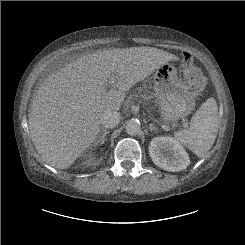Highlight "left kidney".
Listing matches in <instances>:
<instances>
[{"mask_svg":"<svg viewBox=\"0 0 245 245\" xmlns=\"http://www.w3.org/2000/svg\"><path fill=\"white\" fill-rule=\"evenodd\" d=\"M149 154L155 165L166 171H182L190 164L184 148L172 137H155L151 140Z\"/></svg>","mask_w":245,"mask_h":245,"instance_id":"left-kidney-1","label":"left kidney"}]
</instances>
